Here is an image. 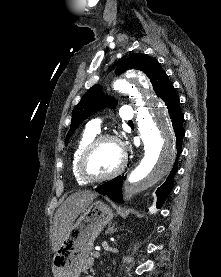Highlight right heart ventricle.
Masks as SVG:
<instances>
[{
    "label": "right heart ventricle",
    "mask_w": 221,
    "mask_h": 277,
    "mask_svg": "<svg viewBox=\"0 0 221 277\" xmlns=\"http://www.w3.org/2000/svg\"><path fill=\"white\" fill-rule=\"evenodd\" d=\"M97 133L92 132L90 130H85L83 134L80 136L79 140L77 141V144L75 146V149L72 154V160H71V169H72V174L75 178V180L79 184H84L85 181L79 176L78 171H77V162L78 159L84 150V148L96 137Z\"/></svg>",
    "instance_id": "right-heart-ventricle-1"
}]
</instances>
